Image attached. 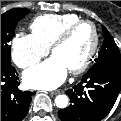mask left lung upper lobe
Segmentation results:
<instances>
[{
    "mask_svg": "<svg viewBox=\"0 0 121 121\" xmlns=\"http://www.w3.org/2000/svg\"><path fill=\"white\" fill-rule=\"evenodd\" d=\"M104 41L96 63L89 70L104 67H121L120 51L108 30L103 27Z\"/></svg>",
    "mask_w": 121,
    "mask_h": 121,
    "instance_id": "1",
    "label": "left lung upper lobe"
}]
</instances>
